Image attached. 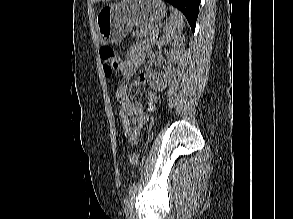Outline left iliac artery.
I'll return each instance as SVG.
<instances>
[{"label": "left iliac artery", "mask_w": 293, "mask_h": 219, "mask_svg": "<svg viewBox=\"0 0 293 219\" xmlns=\"http://www.w3.org/2000/svg\"><path fill=\"white\" fill-rule=\"evenodd\" d=\"M135 188H136L135 183H133V184L131 185V187L129 188V191H128V194H127V196H126V198H125V201H128V200L132 197Z\"/></svg>", "instance_id": "obj_1"}]
</instances>
